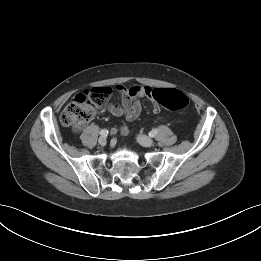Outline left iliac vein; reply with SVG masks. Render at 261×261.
I'll return each mask as SVG.
<instances>
[{
	"label": "left iliac vein",
	"instance_id": "1",
	"mask_svg": "<svg viewBox=\"0 0 261 261\" xmlns=\"http://www.w3.org/2000/svg\"><path fill=\"white\" fill-rule=\"evenodd\" d=\"M138 142L145 147H150L153 145L154 141L148 136L145 135H139L137 138Z\"/></svg>",
	"mask_w": 261,
	"mask_h": 261
}]
</instances>
